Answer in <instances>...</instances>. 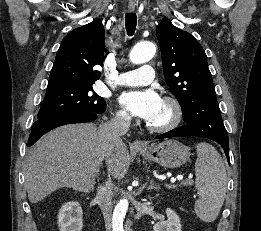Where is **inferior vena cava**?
<instances>
[{
  "instance_id": "1",
  "label": "inferior vena cava",
  "mask_w": 261,
  "mask_h": 231,
  "mask_svg": "<svg viewBox=\"0 0 261 231\" xmlns=\"http://www.w3.org/2000/svg\"><path fill=\"white\" fill-rule=\"evenodd\" d=\"M130 117L117 116L100 127V133L104 141L106 155H109L115 147L122 143L121 136L125 135L130 126ZM112 173L108 169V179L99 187V205L105 220L106 231L112 229V194L113 182Z\"/></svg>"
}]
</instances>
